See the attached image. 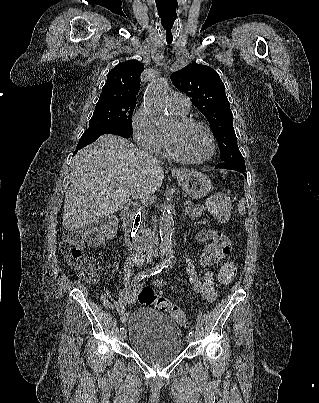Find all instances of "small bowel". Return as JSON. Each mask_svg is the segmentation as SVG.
<instances>
[{
    "mask_svg": "<svg viewBox=\"0 0 319 403\" xmlns=\"http://www.w3.org/2000/svg\"><path fill=\"white\" fill-rule=\"evenodd\" d=\"M219 234V237H216ZM211 240L200 258V264L205 269V273L202 278L197 275L192 260L187 256L185 259L186 270L190 282L197 294H199L204 300L212 303L217 298V293L214 288V275L211 271V267L219 261L226 258L231 253L230 240L222 233L208 230L200 233L195 241L202 242ZM143 262V256L132 255L124 263L125 278L123 281V288L120 292L119 299L114 303L107 302V306L113 309L120 316L123 322H126L129 317L128 306L135 303V295L142 288L141 285H132V269L133 267L140 266ZM150 285L155 288L169 287V284L164 280H154L150 282ZM134 288V292L132 290Z\"/></svg>",
    "mask_w": 319,
    "mask_h": 403,
    "instance_id": "small-bowel-1",
    "label": "small bowel"
}]
</instances>
